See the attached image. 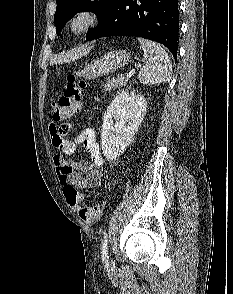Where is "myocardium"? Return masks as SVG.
Returning a JSON list of instances; mask_svg holds the SVG:
<instances>
[{"label":"myocardium","instance_id":"myocardium-1","mask_svg":"<svg viewBox=\"0 0 233 294\" xmlns=\"http://www.w3.org/2000/svg\"><path fill=\"white\" fill-rule=\"evenodd\" d=\"M98 14L92 8H81L74 11L68 21L67 29L75 35L83 34L97 22Z\"/></svg>","mask_w":233,"mask_h":294}]
</instances>
